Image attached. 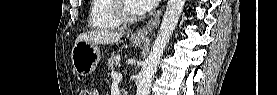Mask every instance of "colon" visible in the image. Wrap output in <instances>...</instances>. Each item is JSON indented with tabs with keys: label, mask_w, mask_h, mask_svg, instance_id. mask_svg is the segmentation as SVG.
<instances>
[{
	"label": "colon",
	"mask_w": 277,
	"mask_h": 95,
	"mask_svg": "<svg viewBox=\"0 0 277 95\" xmlns=\"http://www.w3.org/2000/svg\"><path fill=\"white\" fill-rule=\"evenodd\" d=\"M81 94L82 95H94L96 93L92 90L87 89V90H84Z\"/></svg>",
	"instance_id": "obj_1"
}]
</instances>
